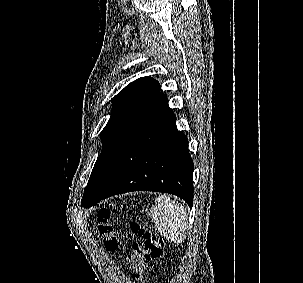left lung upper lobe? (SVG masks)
<instances>
[{
	"instance_id": "obj_1",
	"label": "left lung upper lobe",
	"mask_w": 303,
	"mask_h": 283,
	"mask_svg": "<svg viewBox=\"0 0 303 283\" xmlns=\"http://www.w3.org/2000/svg\"><path fill=\"white\" fill-rule=\"evenodd\" d=\"M160 94L158 82L141 77L129 83L113 100L111 117L101 132L100 153L84 196L94 193L110 174L120 153Z\"/></svg>"
}]
</instances>
